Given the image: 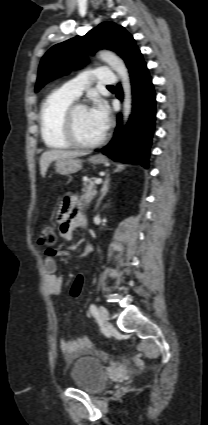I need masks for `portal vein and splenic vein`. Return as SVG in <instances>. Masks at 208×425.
<instances>
[{
	"label": "portal vein and splenic vein",
	"mask_w": 208,
	"mask_h": 425,
	"mask_svg": "<svg viewBox=\"0 0 208 425\" xmlns=\"http://www.w3.org/2000/svg\"><path fill=\"white\" fill-rule=\"evenodd\" d=\"M101 183H102V179L101 178H98V179L95 180V184H101Z\"/></svg>",
	"instance_id": "18ae733b"
}]
</instances>
